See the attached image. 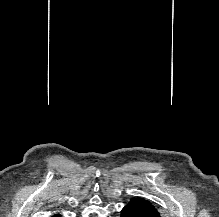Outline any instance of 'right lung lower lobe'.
<instances>
[{
    "label": "right lung lower lobe",
    "instance_id": "right-lung-lower-lobe-1",
    "mask_svg": "<svg viewBox=\"0 0 219 217\" xmlns=\"http://www.w3.org/2000/svg\"><path fill=\"white\" fill-rule=\"evenodd\" d=\"M52 217H61L59 214H55L54 216H52Z\"/></svg>",
    "mask_w": 219,
    "mask_h": 217
}]
</instances>
